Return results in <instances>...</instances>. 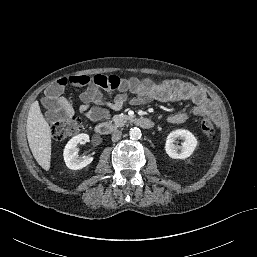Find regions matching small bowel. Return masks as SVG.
<instances>
[{
	"mask_svg": "<svg viewBox=\"0 0 257 257\" xmlns=\"http://www.w3.org/2000/svg\"><path fill=\"white\" fill-rule=\"evenodd\" d=\"M86 85L87 88L80 95L79 111L93 122L106 120L109 117L108 109L119 110L126 103L144 104L152 100L190 101L193 104L190 112L179 111L167 117V122L173 124L185 122L190 113L201 116L212 108L211 102L201 88L177 79L153 81L137 77L124 79L116 75L98 74L89 78ZM60 94L53 95L50 87L46 91L43 105L47 117L51 120L58 116L61 106L67 103Z\"/></svg>",
	"mask_w": 257,
	"mask_h": 257,
	"instance_id": "obj_1",
	"label": "small bowel"
}]
</instances>
